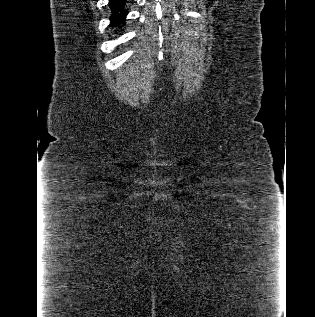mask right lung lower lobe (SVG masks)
<instances>
[{
	"label": "right lung lower lobe",
	"mask_w": 315,
	"mask_h": 317,
	"mask_svg": "<svg viewBox=\"0 0 315 317\" xmlns=\"http://www.w3.org/2000/svg\"><path fill=\"white\" fill-rule=\"evenodd\" d=\"M126 0H110L109 6L112 11L111 25L114 27L125 23L127 12L124 10Z\"/></svg>",
	"instance_id": "right-lung-lower-lobe-1"
}]
</instances>
